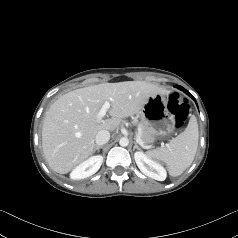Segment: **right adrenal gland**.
<instances>
[{"label":"right adrenal gland","instance_id":"2a0ac1e0","mask_svg":"<svg viewBox=\"0 0 238 238\" xmlns=\"http://www.w3.org/2000/svg\"><path fill=\"white\" fill-rule=\"evenodd\" d=\"M103 146H96L95 148H94V152L95 151H98L99 152V150L102 148Z\"/></svg>","mask_w":238,"mask_h":238}]
</instances>
